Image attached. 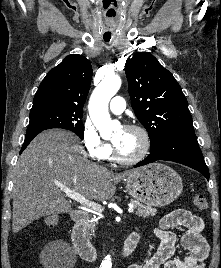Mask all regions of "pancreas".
I'll list each match as a JSON object with an SVG mask.
<instances>
[{"instance_id": "cf45deb5", "label": "pancreas", "mask_w": 221, "mask_h": 268, "mask_svg": "<svg viewBox=\"0 0 221 268\" xmlns=\"http://www.w3.org/2000/svg\"><path fill=\"white\" fill-rule=\"evenodd\" d=\"M130 203L137 208L136 214L138 216H142L144 218L149 217V216H154L156 214V209L152 208L150 206H145L143 204H141L140 202L136 201V200H131ZM95 222L92 220L90 221V223H88L86 225L87 227V234L89 236H93L95 235Z\"/></svg>"}]
</instances>
